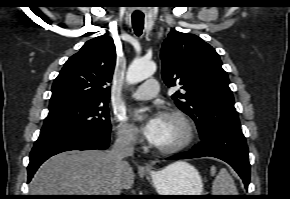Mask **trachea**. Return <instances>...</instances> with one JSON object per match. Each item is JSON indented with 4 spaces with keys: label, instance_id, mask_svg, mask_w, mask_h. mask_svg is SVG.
<instances>
[{
    "label": "trachea",
    "instance_id": "trachea-1",
    "mask_svg": "<svg viewBox=\"0 0 290 199\" xmlns=\"http://www.w3.org/2000/svg\"><path fill=\"white\" fill-rule=\"evenodd\" d=\"M144 24V16L143 15H132V25L137 36L142 34Z\"/></svg>",
    "mask_w": 290,
    "mask_h": 199
}]
</instances>
